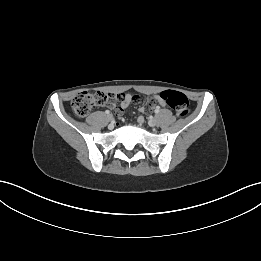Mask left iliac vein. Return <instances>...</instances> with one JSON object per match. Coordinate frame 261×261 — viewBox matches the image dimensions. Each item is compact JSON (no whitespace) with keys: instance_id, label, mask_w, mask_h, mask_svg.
<instances>
[{"instance_id":"4c4485c4","label":"left iliac vein","mask_w":261,"mask_h":261,"mask_svg":"<svg viewBox=\"0 0 261 261\" xmlns=\"http://www.w3.org/2000/svg\"><path fill=\"white\" fill-rule=\"evenodd\" d=\"M149 126L154 127L157 125V120L155 118H152L148 122Z\"/></svg>"}]
</instances>
